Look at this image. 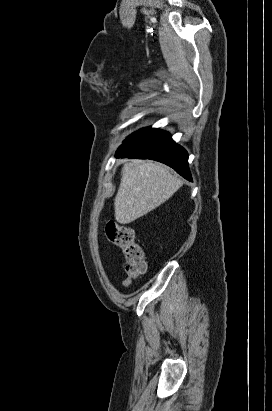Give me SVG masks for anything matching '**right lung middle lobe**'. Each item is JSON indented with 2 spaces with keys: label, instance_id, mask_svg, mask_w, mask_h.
Listing matches in <instances>:
<instances>
[{
  "label": "right lung middle lobe",
  "instance_id": "1",
  "mask_svg": "<svg viewBox=\"0 0 272 411\" xmlns=\"http://www.w3.org/2000/svg\"><path fill=\"white\" fill-rule=\"evenodd\" d=\"M145 129H147V128H145ZM145 129H141V130H139V131H137V132L133 133L132 135L137 134V133H139V132H141V131H143V130H145Z\"/></svg>",
  "mask_w": 272,
  "mask_h": 411
}]
</instances>
